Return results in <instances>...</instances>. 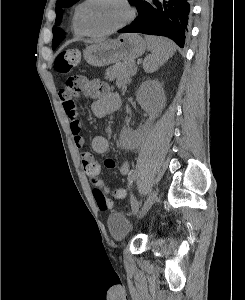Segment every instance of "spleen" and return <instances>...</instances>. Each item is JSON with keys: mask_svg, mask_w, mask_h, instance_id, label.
I'll return each instance as SVG.
<instances>
[{"mask_svg": "<svg viewBox=\"0 0 245 300\" xmlns=\"http://www.w3.org/2000/svg\"><path fill=\"white\" fill-rule=\"evenodd\" d=\"M148 48L151 52L143 62V69L147 73L155 72L176 52L172 41L163 37L145 36Z\"/></svg>", "mask_w": 245, "mask_h": 300, "instance_id": "3e777b00", "label": "spleen"}]
</instances>
